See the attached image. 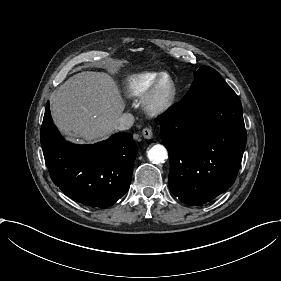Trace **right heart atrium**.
Here are the masks:
<instances>
[{
    "instance_id": "right-heart-atrium-1",
    "label": "right heart atrium",
    "mask_w": 281,
    "mask_h": 281,
    "mask_svg": "<svg viewBox=\"0 0 281 281\" xmlns=\"http://www.w3.org/2000/svg\"><path fill=\"white\" fill-rule=\"evenodd\" d=\"M105 97L108 98V100L110 101L111 104V113L110 116L112 118H115L123 109V105L122 103L113 95V93L111 91L109 92H104L103 93Z\"/></svg>"
}]
</instances>
